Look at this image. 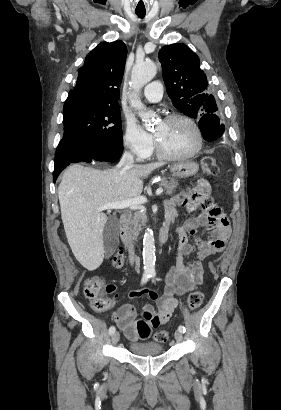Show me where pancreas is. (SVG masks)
<instances>
[{
  "label": "pancreas",
  "instance_id": "cf45deb5",
  "mask_svg": "<svg viewBox=\"0 0 281 410\" xmlns=\"http://www.w3.org/2000/svg\"><path fill=\"white\" fill-rule=\"evenodd\" d=\"M159 186L165 189V193L167 195H171L173 192L176 191V188L178 187V181L173 178H163L159 182ZM147 220L148 219L145 210L135 212L133 215L129 214L127 220L128 231L132 234H137L139 231L142 230V226L145 225Z\"/></svg>",
  "mask_w": 281,
  "mask_h": 410
}]
</instances>
